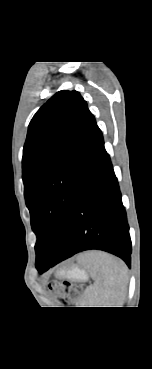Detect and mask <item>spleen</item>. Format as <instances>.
Here are the masks:
<instances>
[{"label":"spleen","instance_id":"obj_1","mask_svg":"<svg viewBox=\"0 0 152 369\" xmlns=\"http://www.w3.org/2000/svg\"><path fill=\"white\" fill-rule=\"evenodd\" d=\"M85 262L95 282L86 288L82 304L122 307L128 283L126 265L104 252H90Z\"/></svg>","mask_w":152,"mask_h":369}]
</instances>
